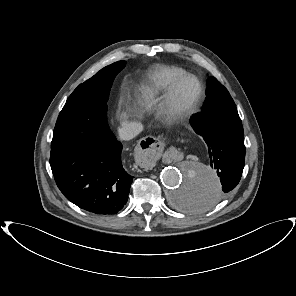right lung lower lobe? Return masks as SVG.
<instances>
[{
    "instance_id": "98d812e1",
    "label": "right lung lower lobe",
    "mask_w": 296,
    "mask_h": 296,
    "mask_svg": "<svg viewBox=\"0 0 296 296\" xmlns=\"http://www.w3.org/2000/svg\"><path fill=\"white\" fill-rule=\"evenodd\" d=\"M122 145L110 129L75 148L51 150L50 166L63 195L95 214H116L126 204L133 176L122 167Z\"/></svg>"
}]
</instances>
